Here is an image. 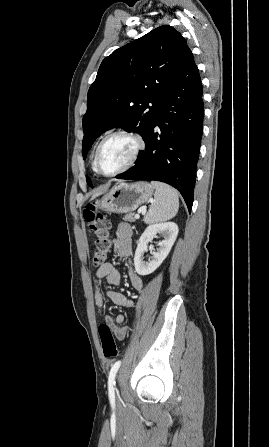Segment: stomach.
Returning <instances> with one entry per match:
<instances>
[{"label":"stomach","mask_w":269,"mask_h":447,"mask_svg":"<svg viewBox=\"0 0 269 447\" xmlns=\"http://www.w3.org/2000/svg\"><path fill=\"white\" fill-rule=\"evenodd\" d=\"M153 188L148 182H136V184H120L105 194L97 202V208L104 212L114 214H127L133 212L141 204L150 200Z\"/></svg>","instance_id":"stomach-1"}]
</instances>
